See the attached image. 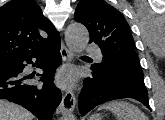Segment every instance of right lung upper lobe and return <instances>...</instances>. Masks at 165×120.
<instances>
[{
    "label": "right lung upper lobe",
    "mask_w": 165,
    "mask_h": 120,
    "mask_svg": "<svg viewBox=\"0 0 165 120\" xmlns=\"http://www.w3.org/2000/svg\"><path fill=\"white\" fill-rule=\"evenodd\" d=\"M59 37L33 0H11L0 8V63Z\"/></svg>",
    "instance_id": "obj_1"
}]
</instances>
